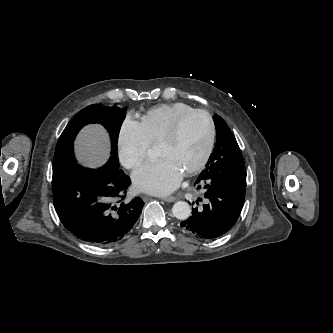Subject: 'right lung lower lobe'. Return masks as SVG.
<instances>
[{"label": "right lung lower lobe", "instance_id": "98d812e1", "mask_svg": "<svg viewBox=\"0 0 333 333\" xmlns=\"http://www.w3.org/2000/svg\"><path fill=\"white\" fill-rule=\"evenodd\" d=\"M130 184L114 156L98 169L72 162L53 171V203L60 221L75 237L106 246L125 237L141 214L143 200L126 198Z\"/></svg>", "mask_w": 333, "mask_h": 333}]
</instances>
